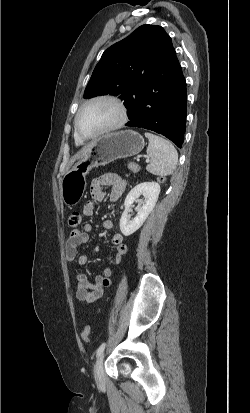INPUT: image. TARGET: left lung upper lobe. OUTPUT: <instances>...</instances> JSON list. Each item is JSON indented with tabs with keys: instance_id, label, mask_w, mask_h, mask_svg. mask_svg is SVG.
<instances>
[{
	"instance_id": "left-lung-upper-lobe-1",
	"label": "left lung upper lobe",
	"mask_w": 250,
	"mask_h": 413,
	"mask_svg": "<svg viewBox=\"0 0 250 413\" xmlns=\"http://www.w3.org/2000/svg\"><path fill=\"white\" fill-rule=\"evenodd\" d=\"M173 49L169 35L160 26L142 25L102 55L85 89L84 98L116 95L127 107L147 78L161 74Z\"/></svg>"
}]
</instances>
